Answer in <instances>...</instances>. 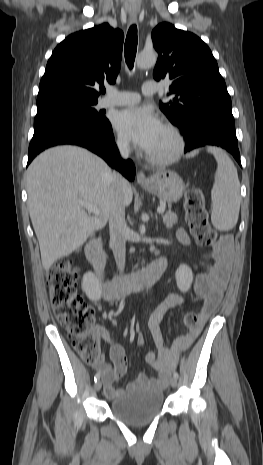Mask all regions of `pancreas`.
<instances>
[{
  "instance_id": "1",
  "label": "pancreas",
  "mask_w": 263,
  "mask_h": 465,
  "mask_svg": "<svg viewBox=\"0 0 263 465\" xmlns=\"http://www.w3.org/2000/svg\"><path fill=\"white\" fill-rule=\"evenodd\" d=\"M178 221V217L173 212H167L163 216V222L167 226V228H172Z\"/></svg>"
}]
</instances>
